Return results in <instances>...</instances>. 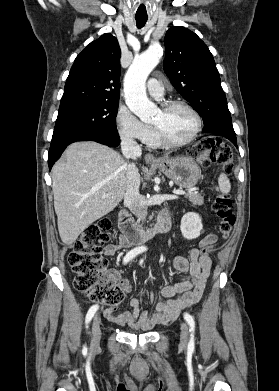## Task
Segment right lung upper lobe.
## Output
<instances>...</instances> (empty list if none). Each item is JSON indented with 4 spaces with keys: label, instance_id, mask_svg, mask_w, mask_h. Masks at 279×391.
<instances>
[{
    "label": "right lung upper lobe",
    "instance_id": "right-lung-upper-lobe-1",
    "mask_svg": "<svg viewBox=\"0 0 279 391\" xmlns=\"http://www.w3.org/2000/svg\"><path fill=\"white\" fill-rule=\"evenodd\" d=\"M121 50L117 39L103 34L75 59L59 109L93 101H119Z\"/></svg>",
    "mask_w": 279,
    "mask_h": 391
}]
</instances>
